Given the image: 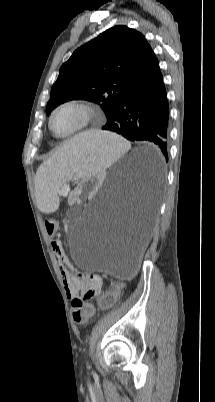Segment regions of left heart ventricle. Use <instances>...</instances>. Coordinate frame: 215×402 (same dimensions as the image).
<instances>
[{
	"label": "left heart ventricle",
	"mask_w": 215,
	"mask_h": 402,
	"mask_svg": "<svg viewBox=\"0 0 215 402\" xmlns=\"http://www.w3.org/2000/svg\"><path fill=\"white\" fill-rule=\"evenodd\" d=\"M81 121V114L74 109H64L58 112L53 120V127L58 134H65L75 129Z\"/></svg>",
	"instance_id": "b2bd125f"
}]
</instances>
